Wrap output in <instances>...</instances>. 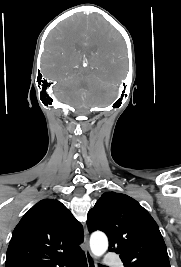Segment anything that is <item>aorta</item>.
I'll return each instance as SVG.
<instances>
[{
  "label": "aorta",
  "instance_id": "1",
  "mask_svg": "<svg viewBox=\"0 0 181 267\" xmlns=\"http://www.w3.org/2000/svg\"><path fill=\"white\" fill-rule=\"evenodd\" d=\"M90 248L96 257L102 256L108 249V239L102 232H95L90 237Z\"/></svg>",
  "mask_w": 181,
  "mask_h": 267
}]
</instances>
